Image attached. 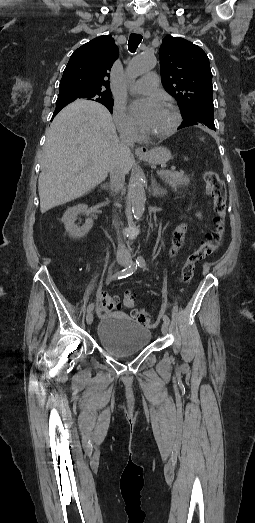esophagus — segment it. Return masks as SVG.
I'll return each instance as SVG.
<instances>
[{
  "label": "esophagus",
  "mask_w": 255,
  "mask_h": 523,
  "mask_svg": "<svg viewBox=\"0 0 255 523\" xmlns=\"http://www.w3.org/2000/svg\"><path fill=\"white\" fill-rule=\"evenodd\" d=\"M134 31L136 33H141L142 32V28H134ZM135 154L138 155L139 157H145L149 154V150L147 147L143 146V147H138L135 149Z\"/></svg>",
  "instance_id": "esophagus-1"
}]
</instances>
